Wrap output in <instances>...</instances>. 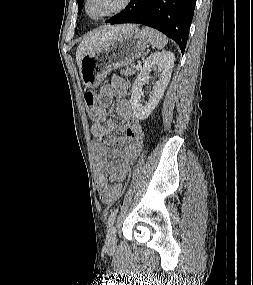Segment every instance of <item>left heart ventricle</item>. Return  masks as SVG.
Returning <instances> with one entry per match:
<instances>
[{"label":"left heart ventricle","mask_w":253,"mask_h":285,"mask_svg":"<svg viewBox=\"0 0 253 285\" xmlns=\"http://www.w3.org/2000/svg\"><path fill=\"white\" fill-rule=\"evenodd\" d=\"M122 2L123 0H90L88 10L92 16H99L117 9Z\"/></svg>","instance_id":"left-heart-ventricle-1"}]
</instances>
